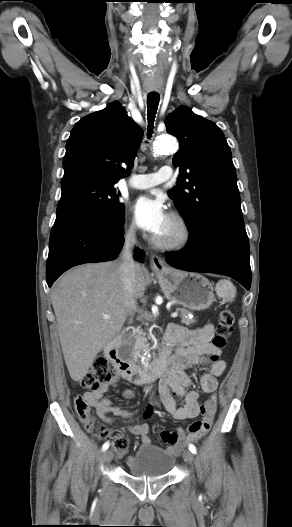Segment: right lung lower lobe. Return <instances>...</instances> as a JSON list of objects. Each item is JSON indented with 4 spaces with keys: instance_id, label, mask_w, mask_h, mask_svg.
<instances>
[{
    "instance_id": "right-lung-lower-lobe-1",
    "label": "right lung lower lobe",
    "mask_w": 292,
    "mask_h": 527,
    "mask_svg": "<svg viewBox=\"0 0 292 527\" xmlns=\"http://www.w3.org/2000/svg\"><path fill=\"white\" fill-rule=\"evenodd\" d=\"M124 217L114 223L82 209L57 211L49 241L46 280L49 287L73 266L115 259L124 244ZM135 259L142 262L144 252L136 248Z\"/></svg>"
}]
</instances>
